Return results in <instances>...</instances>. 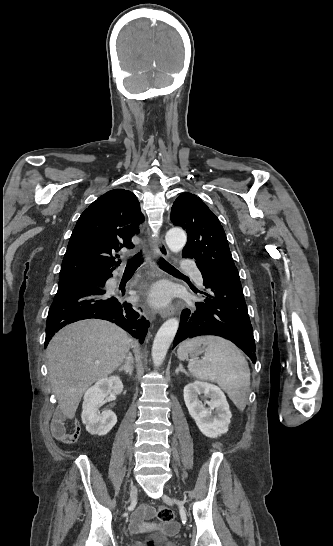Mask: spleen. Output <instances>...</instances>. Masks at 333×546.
I'll return each instance as SVG.
<instances>
[{"label": "spleen", "mask_w": 333, "mask_h": 546, "mask_svg": "<svg viewBox=\"0 0 333 546\" xmlns=\"http://www.w3.org/2000/svg\"><path fill=\"white\" fill-rule=\"evenodd\" d=\"M203 345L197 356L189 360V372L204 381L216 382L234 402L244 410L250 392V370L241 351L230 341L217 336H202L182 342L178 347V358L188 359V355Z\"/></svg>", "instance_id": "obj_1"}]
</instances>
